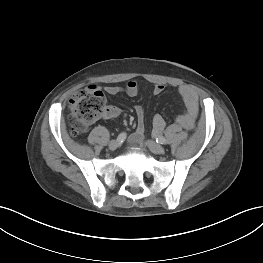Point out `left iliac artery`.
I'll return each instance as SVG.
<instances>
[{"mask_svg":"<svg viewBox=\"0 0 263 263\" xmlns=\"http://www.w3.org/2000/svg\"><path fill=\"white\" fill-rule=\"evenodd\" d=\"M156 142L160 144H167V140L163 136H157Z\"/></svg>","mask_w":263,"mask_h":263,"instance_id":"left-iliac-artery-1","label":"left iliac artery"}]
</instances>
